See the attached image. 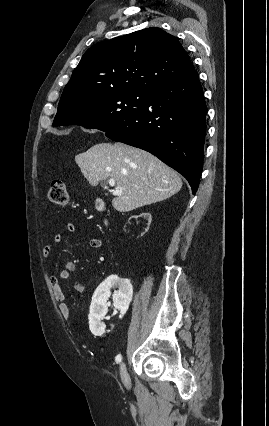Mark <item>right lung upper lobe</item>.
I'll return each instance as SVG.
<instances>
[{
  "label": "right lung upper lobe",
  "mask_w": 269,
  "mask_h": 426,
  "mask_svg": "<svg viewBox=\"0 0 269 426\" xmlns=\"http://www.w3.org/2000/svg\"><path fill=\"white\" fill-rule=\"evenodd\" d=\"M194 69L173 35L146 28L90 47L61 98L88 99L116 92H146Z\"/></svg>",
  "instance_id": "right-lung-upper-lobe-1"
}]
</instances>
